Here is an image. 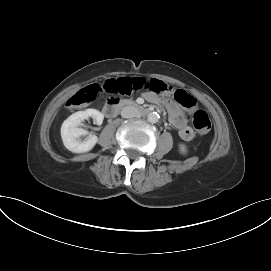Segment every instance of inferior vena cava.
<instances>
[{
	"label": "inferior vena cava",
	"instance_id": "inferior-vena-cava-1",
	"mask_svg": "<svg viewBox=\"0 0 271 271\" xmlns=\"http://www.w3.org/2000/svg\"><path fill=\"white\" fill-rule=\"evenodd\" d=\"M121 116L123 118H132V117H138L139 112L137 109L133 106H126L121 111Z\"/></svg>",
	"mask_w": 271,
	"mask_h": 271
}]
</instances>
